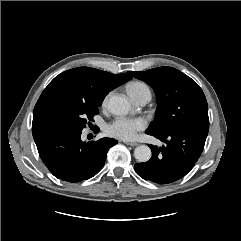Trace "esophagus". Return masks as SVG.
Masks as SVG:
<instances>
[{
  "label": "esophagus",
  "instance_id": "1",
  "mask_svg": "<svg viewBox=\"0 0 241 241\" xmlns=\"http://www.w3.org/2000/svg\"><path fill=\"white\" fill-rule=\"evenodd\" d=\"M125 144H126V145H129V146H132V147H134V146H137V145H138V143H137V142H128V141H126V142H125Z\"/></svg>",
  "mask_w": 241,
  "mask_h": 241
}]
</instances>
